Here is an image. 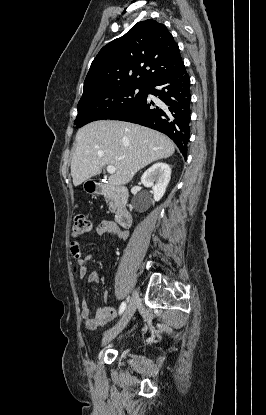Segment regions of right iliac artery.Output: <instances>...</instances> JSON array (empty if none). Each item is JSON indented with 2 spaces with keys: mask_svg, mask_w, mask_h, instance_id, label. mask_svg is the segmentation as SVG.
Listing matches in <instances>:
<instances>
[{
  "mask_svg": "<svg viewBox=\"0 0 266 415\" xmlns=\"http://www.w3.org/2000/svg\"><path fill=\"white\" fill-rule=\"evenodd\" d=\"M126 308V302H122L119 308V314H122Z\"/></svg>",
  "mask_w": 266,
  "mask_h": 415,
  "instance_id": "right-iliac-artery-1",
  "label": "right iliac artery"
}]
</instances>
